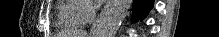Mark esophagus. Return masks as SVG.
Returning a JSON list of instances; mask_svg holds the SVG:
<instances>
[{
    "mask_svg": "<svg viewBox=\"0 0 219 37\" xmlns=\"http://www.w3.org/2000/svg\"><path fill=\"white\" fill-rule=\"evenodd\" d=\"M110 3L111 1H108L106 3V5L104 6L103 10L101 11V13L99 14V16L97 17V19L95 20V22L93 23L91 29H90V35L92 37H96V35H98L99 33V28L101 26L102 20L104 18V15L106 14V11L109 9L110 7Z\"/></svg>",
    "mask_w": 219,
    "mask_h": 37,
    "instance_id": "esophagus-1",
    "label": "esophagus"
}]
</instances>
